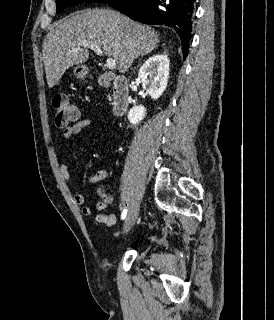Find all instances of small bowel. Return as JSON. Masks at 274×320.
<instances>
[{"label":"small bowel","instance_id":"1","mask_svg":"<svg viewBox=\"0 0 274 320\" xmlns=\"http://www.w3.org/2000/svg\"><path fill=\"white\" fill-rule=\"evenodd\" d=\"M91 125V120L88 118L80 119L75 122L73 125L64 129L63 136L65 139L69 140L74 136L78 135L85 128ZM59 172L65 184L70 183V174L68 166L61 162L59 164ZM110 174V171L107 168L98 170L95 174L89 176L86 181L88 184H96L104 179H106ZM74 203L78 206H81V212L85 216H91L94 208L90 205L85 204V196L82 193H75L73 196ZM106 207V204L103 201H99L95 205V209L102 210ZM97 221L103 223L107 226H111L115 223V216L112 214H98L96 217Z\"/></svg>","mask_w":274,"mask_h":320}]
</instances>
